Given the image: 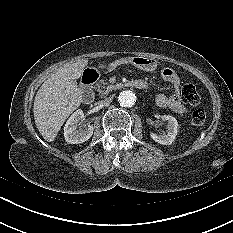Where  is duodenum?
Instances as JSON below:
<instances>
[{
  "instance_id": "obj_1",
  "label": "duodenum",
  "mask_w": 233,
  "mask_h": 233,
  "mask_svg": "<svg viewBox=\"0 0 233 233\" xmlns=\"http://www.w3.org/2000/svg\"><path fill=\"white\" fill-rule=\"evenodd\" d=\"M98 73L96 71L86 72L82 77V89H83V101L86 104H90L94 99V85L98 80ZM133 87L136 89H145L147 88V84L144 81L136 80V81H117L114 84L115 89L124 90L126 87Z\"/></svg>"
}]
</instances>
